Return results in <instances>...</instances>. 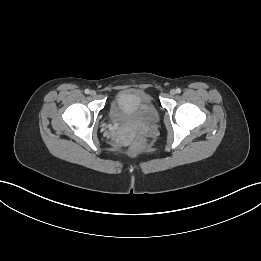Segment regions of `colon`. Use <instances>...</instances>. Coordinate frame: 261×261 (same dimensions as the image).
Segmentation results:
<instances>
[{"mask_svg":"<svg viewBox=\"0 0 261 261\" xmlns=\"http://www.w3.org/2000/svg\"><path fill=\"white\" fill-rule=\"evenodd\" d=\"M155 95H150V97L149 96H144V101H149V99L150 100H155ZM147 146H148V144H147V142L146 141H144V140H142V139H138L137 141H136V143L134 144V146L132 147V152L133 153H140V152H142L143 150H145L146 148H147Z\"/></svg>","mask_w":261,"mask_h":261,"instance_id":"obj_1","label":"colon"}]
</instances>
